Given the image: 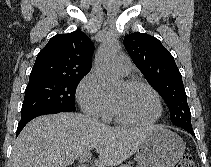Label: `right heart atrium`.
<instances>
[{"instance_id": "obj_1", "label": "right heart atrium", "mask_w": 211, "mask_h": 167, "mask_svg": "<svg viewBox=\"0 0 211 167\" xmlns=\"http://www.w3.org/2000/svg\"><path fill=\"white\" fill-rule=\"evenodd\" d=\"M77 99L86 114L103 121L109 119L112 110L111 101L96 74L88 73L80 81L77 87Z\"/></svg>"}]
</instances>
